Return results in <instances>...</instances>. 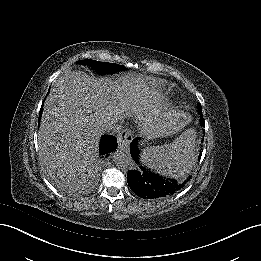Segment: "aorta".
<instances>
[{
    "label": "aorta",
    "mask_w": 261,
    "mask_h": 261,
    "mask_svg": "<svg viewBox=\"0 0 261 261\" xmlns=\"http://www.w3.org/2000/svg\"><path fill=\"white\" fill-rule=\"evenodd\" d=\"M114 162L120 166L121 168H124V169H130V168H134V162L131 158V156L118 149L115 153H114Z\"/></svg>",
    "instance_id": "762f6f07"
}]
</instances>
